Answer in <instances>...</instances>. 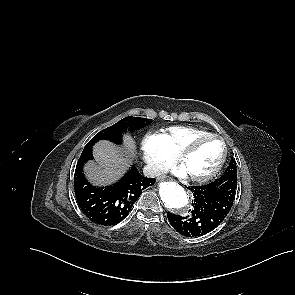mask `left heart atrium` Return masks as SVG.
Here are the masks:
<instances>
[{
  "label": "left heart atrium",
  "instance_id": "39dd6f15",
  "mask_svg": "<svg viewBox=\"0 0 295 295\" xmlns=\"http://www.w3.org/2000/svg\"><path fill=\"white\" fill-rule=\"evenodd\" d=\"M175 172H176L178 175H182V176H184V175L187 174L186 170H185L183 167H180V168L176 169Z\"/></svg>",
  "mask_w": 295,
  "mask_h": 295
}]
</instances>
